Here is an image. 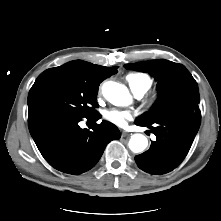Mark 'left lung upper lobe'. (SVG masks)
<instances>
[{
	"mask_svg": "<svg viewBox=\"0 0 221 221\" xmlns=\"http://www.w3.org/2000/svg\"><path fill=\"white\" fill-rule=\"evenodd\" d=\"M125 67L147 72L158 81V100L137 120L153 123L174 116H201L198 85L185 66L160 59L127 64Z\"/></svg>",
	"mask_w": 221,
	"mask_h": 221,
	"instance_id": "left-lung-upper-lobe-1",
	"label": "left lung upper lobe"
}]
</instances>
